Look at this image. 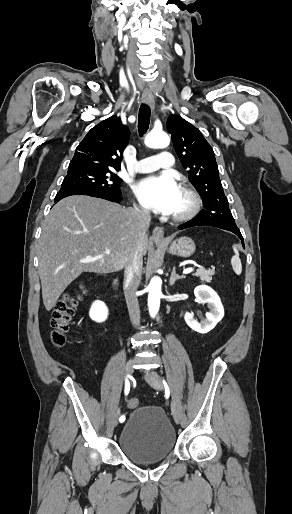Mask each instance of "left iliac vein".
<instances>
[{
  "instance_id": "1",
  "label": "left iliac vein",
  "mask_w": 292,
  "mask_h": 514,
  "mask_svg": "<svg viewBox=\"0 0 292 514\" xmlns=\"http://www.w3.org/2000/svg\"><path fill=\"white\" fill-rule=\"evenodd\" d=\"M144 378L148 382V384L156 389V390H162L163 389V382L161 378L155 373L151 371H146L144 373ZM171 413L174 418V421L179 424L180 422V415L177 409V406L175 404L171 405Z\"/></svg>"
}]
</instances>
